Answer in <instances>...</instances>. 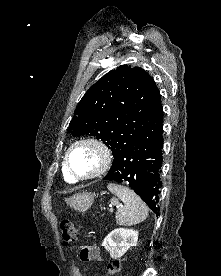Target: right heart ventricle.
<instances>
[{
    "label": "right heart ventricle",
    "mask_w": 221,
    "mask_h": 276,
    "mask_svg": "<svg viewBox=\"0 0 221 276\" xmlns=\"http://www.w3.org/2000/svg\"><path fill=\"white\" fill-rule=\"evenodd\" d=\"M62 171H63V176H64V178L67 180V181H74L69 175H68V173H67V171H66V169H65V166H63V169H62Z\"/></svg>",
    "instance_id": "1"
}]
</instances>
